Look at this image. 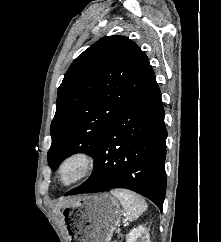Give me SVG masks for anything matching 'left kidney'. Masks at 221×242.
Wrapping results in <instances>:
<instances>
[{"instance_id": "5707ae66", "label": "left kidney", "mask_w": 221, "mask_h": 242, "mask_svg": "<svg viewBox=\"0 0 221 242\" xmlns=\"http://www.w3.org/2000/svg\"><path fill=\"white\" fill-rule=\"evenodd\" d=\"M126 242H150L148 229L141 225L132 229L127 235Z\"/></svg>"}]
</instances>
